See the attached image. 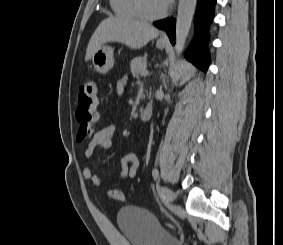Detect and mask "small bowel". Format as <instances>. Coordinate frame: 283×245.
Wrapping results in <instances>:
<instances>
[{
  "label": "small bowel",
  "mask_w": 283,
  "mask_h": 245,
  "mask_svg": "<svg viewBox=\"0 0 283 245\" xmlns=\"http://www.w3.org/2000/svg\"><path fill=\"white\" fill-rule=\"evenodd\" d=\"M124 83V80H121L117 85V93L119 95H121L123 92ZM116 131L117 125L112 123L95 133L84 150L85 157L91 158L94 155L96 148L98 147L104 150H109L112 147L113 137ZM140 163V156L136 153H128L123 156L121 160V171L119 173L118 179L136 177ZM83 175L87 180H89L96 186L102 184V178L94 173L89 167L84 168Z\"/></svg>",
  "instance_id": "1"
}]
</instances>
